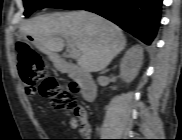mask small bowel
Wrapping results in <instances>:
<instances>
[{
  "instance_id": "obj_1",
  "label": "small bowel",
  "mask_w": 182,
  "mask_h": 140,
  "mask_svg": "<svg viewBox=\"0 0 182 140\" xmlns=\"http://www.w3.org/2000/svg\"><path fill=\"white\" fill-rule=\"evenodd\" d=\"M90 132H91L90 126L86 122V120L83 118L80 129H79V133H80L81 137L82 138H89ZM81 140H88V139H81Z\"/></svg>"
}]
</instances>
